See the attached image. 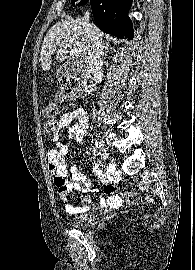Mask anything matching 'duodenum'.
<instances>
[{"label": "duodenum", "instance_id": "410a0bca", "mask_svg": "<svg viewBox=\"0 0 195 270\" xmlns=\"http://www.w3.org/2000/svg\"><path fill=\"white\" fill-rule=\"evenodd\" d=\"M80 75L83 81L85 95L90 94L94 89V77L91 70L87 67H82L80 69Z\"/></svg>", "mask_w": 195, "mask_h": 270}]
</instances>
